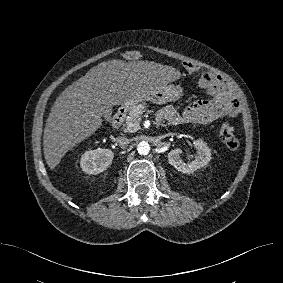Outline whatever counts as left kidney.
Masks as SVG:
<instances>
[{"mask_svg": "<svg viewBox=\"0 0 283 283\" xmlns=\"http://www.w3.org/2000/svg\"><path fill=\"white\" fill-rule=\"evenodd\" d=\"M194 148L197 153L195 155V160L191 162H184L181 158V149H174L168 153L169 164L172 165L176 170L182 173H193L197 169L206 166L211 160V152L209 147L202 140H196L194 143Z\"/></svg>", "mask_w": 283, "mask_h": 283, "instance_id": "left-kidney-1", "label": "left kidney"}]
</instances>
